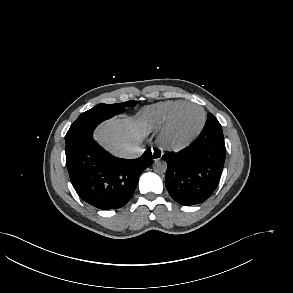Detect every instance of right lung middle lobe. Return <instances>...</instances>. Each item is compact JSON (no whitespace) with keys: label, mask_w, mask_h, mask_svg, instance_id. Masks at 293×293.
<instances>
[{"label":"right lung middle lobe","mask_w":293,"mask_h":293,"mask_svg":"<svg viewBox=\"0 0 293 293\" xmlns=\"http://www.w3.org/2000/svg\"><path fill=\"white\" fill-rule=\"evenodd\" d=\"M136 104L137 101H127L117 104H98L78 117V119L70 126L65 139L85 128L96 127L102 121L109 119L116 114L123 113L125 107H134Z\"/></svg>","instance_id":"obj_1"}]
</instances>
